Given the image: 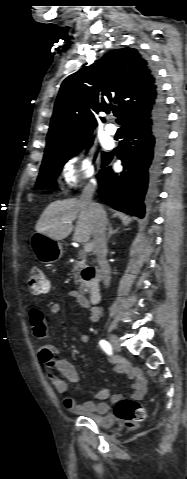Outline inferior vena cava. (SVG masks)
<instances>
[{
  "label": "inferior vena cava",
  "mask_w": 187,
  "mask_h": 479,
  "mask_svg": "<svg viewBox=\"0 0 187 479\" xmlns=\"http://www.w3.org/2000/svg\"><path fill=\"white\" fill-rule=\"evenodd\" d=\"M95 187L96 183L94 181L87 184L82 192L80 200L86 207L91 219L94 250L102 273L103 283L108 287L111 280V269L106 260V227L108 219L103 207L100 204L95 203L92 199Z\"/></svg>",
  "instance_id": "602c4592"
}]
</instances>
